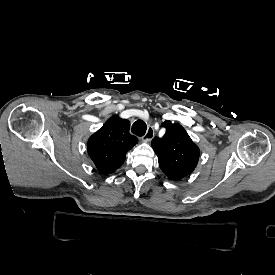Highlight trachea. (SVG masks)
Returning a JSON list of instances; mask_svg holds the SVG:
<instances>
[{"instance_id": "1", "label": "trachea", "mask_w": 275, "mask_h": 275, "mask_svg": "<svg viewBox=\"0 0 275 275\" xmlns=\"http://www.w3.org/2000/svg\"><path fill=\"white\" fill-rule=\"evenodd\" d=\"M147 130V125L142 120H137L132 125V133H134L137 136H143Z\"/></svg>"}]
</instances>
